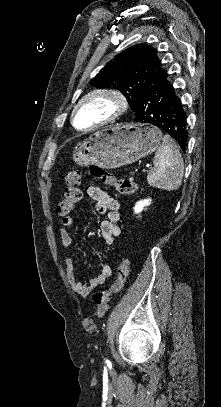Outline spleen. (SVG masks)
I'll list each match as a JSON object with an SVG mask.
<instances>
[{
	"mask_svg": "<svg viewBox=\"0 0 221 407\" xmlns=\"http://www.w3.org/2000/svg\"><path fill=\"white\" fill-rule=\"evenodd\" d=\"M155 167L147 176L150 186L167 191L178 189L184 173L182 155L171 137L165 135L154 157Z\"/></svg>",
	"mask_w": 221,
	"mask_h": 407,
	"instance_id": "1",
	"label": "spleen"
}]
</instances>
